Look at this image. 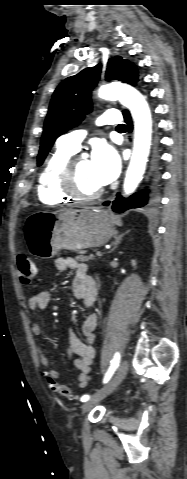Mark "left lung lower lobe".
Masks as SVG:
<instances>
[{
    "instance_id": "left-lung-lower-lobe-1",
    "label": "left lung lower lobe",
    "mask_w": 187,
    "mask_h": 479,
    "mask_svg": "<svg viewBox=\"0 0 187 479\" xmlns=\"http://www.w3.org/2000/svg\"><path fill=\"white\" fill-rule=\"evenodd\" d=\"M123 116L127 124L128 131L131 132L132 120H131L129 112L127 110H124ZM157 182H158V173L155 171L152 176V185H151L152 189L149 196L148 194L136 193L130 196L129 198H123L120 194H118L116 200H114L112 203L113 211L122 213L128 209L140 208L146 205L147 203L155 202L157 199L156 188H155ZM109 204H110L109 201L103 203V205L105 206H108Z\"/></svg>"
}]
</instances>
